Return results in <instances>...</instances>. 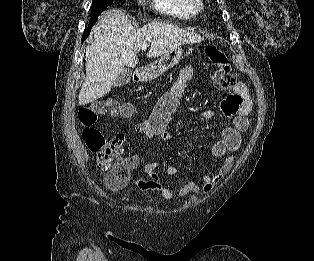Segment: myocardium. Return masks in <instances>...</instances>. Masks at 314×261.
<instances>
[{
	"mask_svg": "<svg viewBox=\"0 0 314 261\" xmlns=\"http://www.w3.org/2000/svg\"><path fill=\"white\" fill-rule=\"evenodd\" d=\"M196 11H201L204 8V0H191Z\"/></svg>",
	"mask_w": 314,
	"mask_h": 261,
	"instance_id": "obj_1",
	"label": "myocardium"
}]
</instances>
